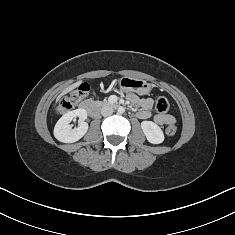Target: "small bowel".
Instances as JSON below:
<instances>
[{
	"label": "small bowel",
	"mask_w": 235,
	"mask_h": 235,
	"mask_svg": "<svg viewBox=\"0 0 235 235\" xmlns=\"http://www.w3.org/2000/svg\"><path fill=\"white\" fill-rule=\"evenodd\" d=\"M128 100L136 106L140 107V110L137 112V116L140 119H148L152 116L151 109L153 107V99L149 97L139 98L135 94H129ZM174 117L170 114H157L154 116V121L158 125H167L174 122Z\"/></svg>",
	"instance_id": "obj_1"
}]
</instances>
